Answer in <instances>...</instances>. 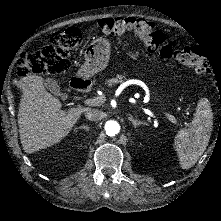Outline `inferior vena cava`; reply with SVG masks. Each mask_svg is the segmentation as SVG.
Here are the masks:
<instances>
[{"label":"inferior vena cava","instance_id":"602c4592","mask_svg":"<svg viewBox=\"0 0 221 221\" xmlns=\"http://www.w3.org/2000/svg\"><path fill=\"white\" fill-rule=\"evenodd\" d=\"M85 117L89 121H100L106 117V114L99 109H88L85 112Z\"/></svg>","mask_w":221,"mask_h":221}]
</instances>
